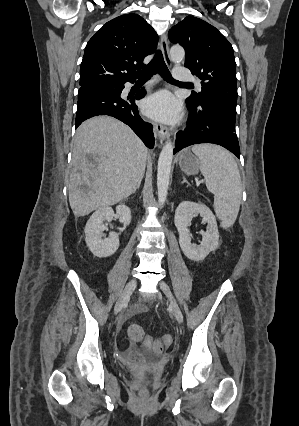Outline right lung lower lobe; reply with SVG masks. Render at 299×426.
<instances>
[{
	"instance_id": "obj_1",
	"label": "right lung lower lobe",
	"mask_w": 299,
	"mask_h": 426,
	"mask_svg": "<svg viewBox=\"0 0 299 426\" xmlns=\"http://www.w3.org/2000/svg\"><path fill=\"white\" fill-rule=\"evenodd\" d=\"M134 82V81H129ZM124 83L117 86L86 85L81 86L78 92V107L76 113V128L86 119L97 115L113 116L125 124L140 137L144 144L154 147L153 126L141 119L134 97L125 99L121 97ZM146 92L141 89L135 99L139 100Z\"/></svg>"
}]
</instances>
